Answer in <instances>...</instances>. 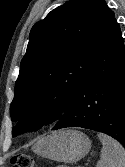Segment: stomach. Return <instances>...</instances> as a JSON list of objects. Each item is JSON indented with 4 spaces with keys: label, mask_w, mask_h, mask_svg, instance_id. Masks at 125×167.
I'll return each instance as SVG.
<instances>
[{
    "label": "stomach",
    "mask_w": 125,
    "mask_h": 167,
    "mask_svg": "<svg viewBox=\"0 0 125 167\" xmlns=\"http://www.w3.org/2000/svg\"><path fill=\"white\" fill-rule=\"evenodd\" d=\"M90 139L80 131L59 130L41 137L32 150L36 154L59 162L74 163L88 154Z\"/></svg>",
    "instance_id": "obj_1"
}]
</instances>
